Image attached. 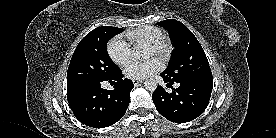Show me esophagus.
<instances>
[{"mask_svg": "<svg viewBox=\"0 0 276 138\" xmlns=\"http://www.w3.org/2000/svg\"><path fill=\"white\" fill-rule=\"evenodd\" d=\"M141 82H142L141 80H136V79L133 80V84L135 86L139 85Z\"/></svg>", "mask_w": 276, "mask_h": 138, "instance_id": "obj_1", "label": "esophagus"}]
</instances>
